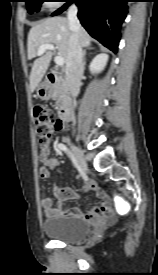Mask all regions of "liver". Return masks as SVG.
<instances>
[{"label":"liver","mask_w":158,"mask_h":275,"mask_svg":"<svg viewBox=\"0 0 158 275\" xmlns=\"http://www.w3.org/2000/svg\"><path fill=\"white\" fill-rule=\"evenodd\" d=\"M71 32L69 21L64 17L47 18L37 23L30 29L28 34V59L31 60L37 56L38 48L41 45L52 44L57 49L58 55L63 57L67 62ZM91 40L87 31L81 27L79 31V43L81 47H90ZM52 55L51 51H46L34 61L30 74V87L32 91L38 87L44 77Z\"/></svg>","instance_id":"liver-1"}]
</instances>
